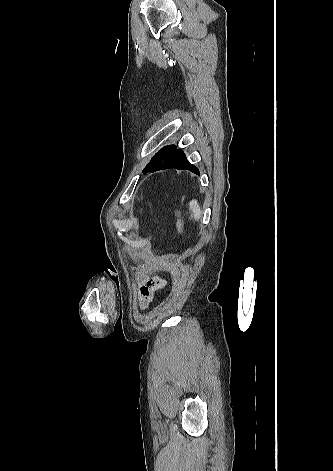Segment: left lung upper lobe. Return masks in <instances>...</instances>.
<instances>
[{"instance_id":"5c2ea615","label":"left lung upper lobe","mask_w":333,"mask_h":471,"mask_svg":"<svg viewBox=\"0 0 333 471\" xmlns=\"http://www.w3.org/2000/svg\"><path fill=\"white\" fill-rule=\"evenodd\" d=\"M179 150L175 145H169L159 150L152 158L151 162L144 168L143 173L155 172L159 170L168 169L169 161L178 153Z\"/></svg>"}]
</instances>
